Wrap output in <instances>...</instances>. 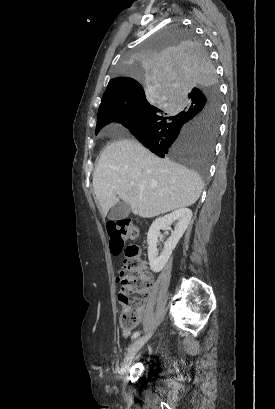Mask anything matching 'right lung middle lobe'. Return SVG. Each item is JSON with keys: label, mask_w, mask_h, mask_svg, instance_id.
<instances>
[{"label": "right lung middle lobe", "mask_w": 275, "mask_h": 409, "mask_svg": "<svg viewBox=\"0 0 275 409\" xmlns=\"http://www.w3.org/2000/svg\"><path fill=\"white\" fill-rule=\"evenodd\" d=\"M113 70L142 79L152 92L98 112L96 134L119 122L151 152L189 165L206 182L220 112L216 74L203 39L186 25L165 24L137 42L136 50H126Z\"/></svg>", "instance_id": "right-lung-middle-lobe-1"}]
</instances>
